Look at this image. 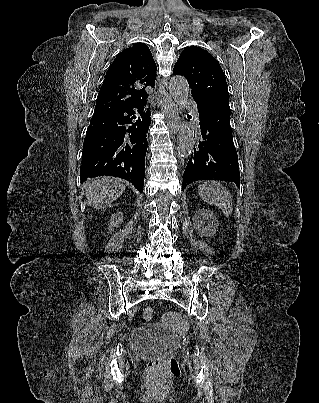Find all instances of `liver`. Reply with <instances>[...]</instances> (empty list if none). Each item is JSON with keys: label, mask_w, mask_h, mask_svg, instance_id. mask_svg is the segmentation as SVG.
<instances>
[{"label": "liver", "mask_w": 319, "mask_h": 403, "mask_svg": "<svg viewBox=\"0 0 319 403\" xmlns=\"http://www.w3.org/2000/svg\"><path fill=\"white\" fill-rule=\"evenodd\" d=\"M124 190V181L112 177H100L87 185L86 198L89 204L99 208L100 204L107 205L117 200Z\"/></svg>", "instance_id": "liver-1"}]
</instances>
